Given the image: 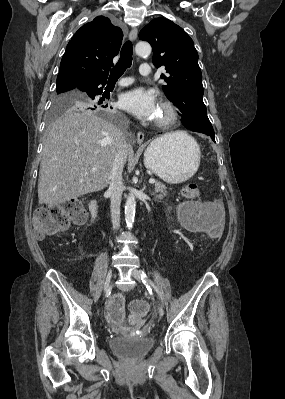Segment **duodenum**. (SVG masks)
I'll return each instance as SVG.
<instances>
[{"label":"duodenum","mask_w":285,"mask_h":399,"mask_svg":"<svg viewBox=\"0 0 285 399\" xmlns=\"http://www.w3.org/2000/svg\"><path fill=\"white\" fill-rule=\"evenodd\" d=\"M90 221L91 225L95 226L98 223V208L96 201H92L90 204Z\"/></svg>","instance_id":"obj_1"}]
</instances>
